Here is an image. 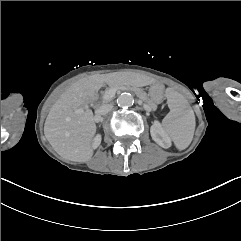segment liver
Returning a JSON list of instances; mask_svg holds the SVG:
<instances>
[{
	"instance_id": "liver-1",
	"label": "liver",
	"mask_w": 241,
	"mask_h": 241,
	"mask_svg": "<svg viewBox=\"0 0 241 241\" xmlns=\"http://www.w3.org/2000/svg\"><path fill=\"white\" fill-rule=\"evenodd\" d=\"M117 73L97 74L73 83L52 105L44 125V134L54 150L63 158L86 162L92 155L96 132L93 112L86 104L94 100L104 83L113 87L121 82ZM83 109L81 112H76Z\"/></svg>"
}]
</instances>
